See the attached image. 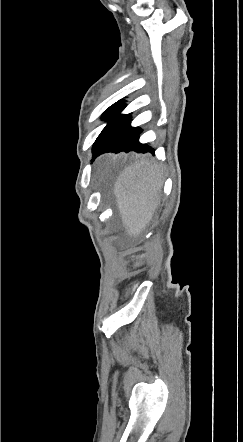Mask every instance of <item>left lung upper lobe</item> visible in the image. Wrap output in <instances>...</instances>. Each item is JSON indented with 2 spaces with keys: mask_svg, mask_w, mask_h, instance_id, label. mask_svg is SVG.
<instances>
[{
  "mask_svg": "<svg viewBox=\"0 0 243 442\" xmlns=\"http://www.w3.org/2000/svg\"><path fill=\"white\" fill-rule=\"evenodd\" d=\"M112 106H113V105H112ZM112 106H111V107H112ZM111 107H109V108L105 111L104 115L109 111V109H110Z\"/></svg>",
  "mask_w": 243,
  "mask_h": 442,
  "instance_id": "5c2ea615",
  "label": "left lung upper lobe"
}]
</instances>
